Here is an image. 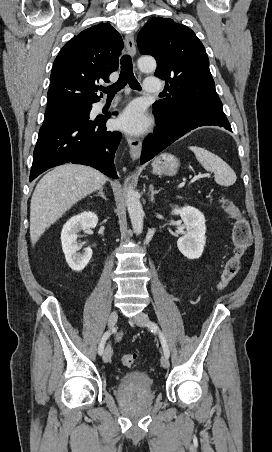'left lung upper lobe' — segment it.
I'll use <instances>...</instances> for the list:
<instances>
[{
	"label": "left lung upper lobe",
	"mask_w": 272,
	"mask_h": 452,
	"mask_svg": "<svg viewBox=\"0 0 272 452\" xmlns=\"http://www.w3.org/2000/svg\"><path fill=\"white\" fill-rule=\"evenodd\" d=\"M137 42L141 54L156 59L155 76L166 80L169 91L167 98L153 104L155 111L170 117L223 112L207 53L190 28L153 17L139 32Z\"/></svg>",
	"instance_id": "obj_1"
}]
</instances>
